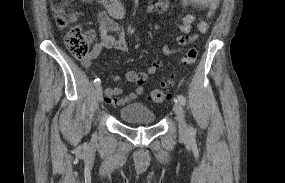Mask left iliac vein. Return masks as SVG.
<instances>
[{
  "label": "left iliac vein",
  "instance_id": "left-iliac-vein-1",
  "mask_svg": "<svg viewBox=\"0 0 285 183\" xmlns=\"http://www.w3.org/2000/svg\"><path fill=\"white\" fill-rule=\"evenodd\" d=\"M173 110L176 114L178 120V127H179V135L182 138H186L189 135V129L187 123L184 118V111L179 102H175Z\"/></svg>",
  "mask_w": 285,
  "mask_h": 183
}]
</instances>
